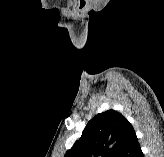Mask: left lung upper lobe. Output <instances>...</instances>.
Here are the masks:
<instances>
[{
    "instance_id": "5c2ea615",
    "label": "left lung upper lobe",
    "mask_w": 164,
    "mask_h": 157,
    "mask_svg": "<svg viewBox=\"0 0 164 157\" xmlns=\"http://www.w3.org/2000/svg\"><path fill=\"white\" fill-rule=\"evenodd\" d=\"M134 134L131 123L111 109L87 123L80 139L64 157H119Z\"/></svg>"
}]
</instances>
